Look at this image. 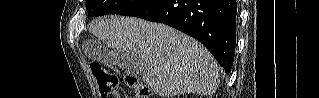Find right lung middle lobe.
Here are the masks:
<instances>
[{
	"label": "right lung middle lobe",
	"mask_w": 319,
	"mask_h": 98,
	"mask_svg": "<svg viewBox=\"0 0 319 98\" xmlns=\"http://www.w3.org/2000/svg\"><path fill=\"white\" fill-rule=\"evenodd\" d=\"M146 0H87L86 10L89 16L123 14Z\"/></svg>",
	"instance_id": "dd1d6c3e"
}]
</instances>
